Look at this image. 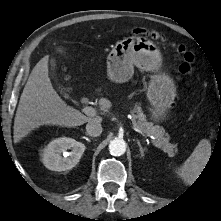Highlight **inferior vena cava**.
I'll list each match as a JSON object with an SVG mask.
<instances>
[{
  "instance_id": "obj_1",
  "label": "inferior vena cava",
  "mask_w": 221,
  "mask_h": 221,
  "mask_svg": "<svg viewBox=\"0 0 221 221\" xmlns=\"http://www.w3.org/2000/svg\"><path fill=\"white\" fill-rule=\"evenodd\" d=\"M86 131L87 135L97 137L102 133V126L98 121L89 122L86 125Z\"/></svg>"
}]
</instances>
